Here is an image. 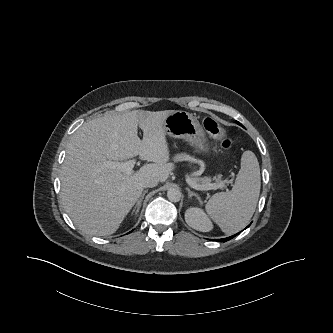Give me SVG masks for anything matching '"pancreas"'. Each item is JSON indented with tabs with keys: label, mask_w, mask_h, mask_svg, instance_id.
Wrapping results in <instances>:
<instances>
[{
	"label": "pancreas",
	"mask_w": 333,
	"mask_h": 333,
	"mask_svg": "<svg viewBox=\"0 0 333 333\" xmlns=\"http://www.w3.org/2000/svg\"><path fill=\"white\" fill-rule=\"evenodd\" d=\"M194 158L191 157L190 155H187L185 153H181V154H177L174 156V161L178 162V161H193ZM192 180L199 184V185H206L209 184L211 181V178L209 177H204V178H200V177H193ZM214 180L216 181V184L223 182V180L221 179V176H217L214 177Z\"/></svg>",
	"instance_id": "cf45deb5"
}]
</instances>
